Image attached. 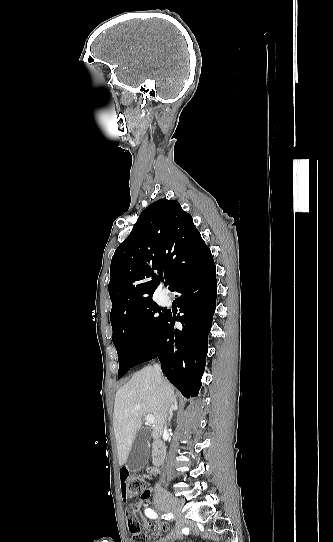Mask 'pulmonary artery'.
<instances>
[{"mask_svg":"<svg viewBox=\"0 0 333 542\" xmlns=\"http://www.w3.org/2000/svg\"><path fill=\"white\" fill-rule=\"evenodd\" d=\"M166 292H167V290H165V289L162 290V293H166Z\"/></svg>","mask_w":333,"mask_h":542,"instance_id":"obj_1","label":"pulmonary artery"}]
</instances>
